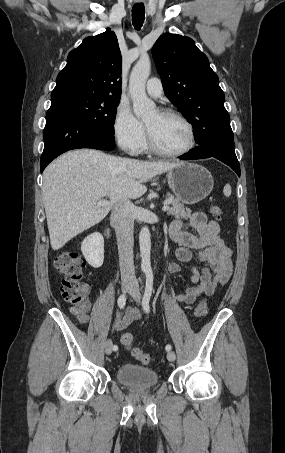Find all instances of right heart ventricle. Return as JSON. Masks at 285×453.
Returning <instances> with one entry per match:
<instances>
[{
	"label": "right heart ventricle",
	"mask_w": 285,
	"mask_h": 453,
	"mask_svg": "<svg viewBox=\"0 0 285 453\" xmlns=\"http://www.w3.org/2000/svg\"><path fill=\"white\" fill-rule=\"evenodd\" d=\"M141 148H142L143 150H146V149L148 148V147H147V144H146V142H145V140H144V142H143Z\"/></svg>",
	"instance_id": "e07e8e85"
}]
</instances>
